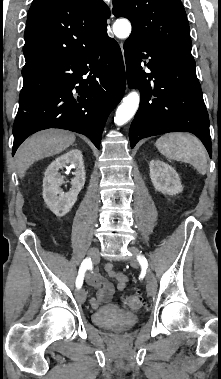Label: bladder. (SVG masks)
<instances>
[{
    "instance_id": "obj_1",
    "label": "bladder",
    "mask_w": 221,
    "mask_h": 379,
    "mask_svg": "<svg viewBox=\"0 0 221 379\" xmlns=\"http://www.w3.org/2000/svg\"><path fill=\"white\" fill-rule=\"evenodd\" d=\"M93 322L109 330H124L135 325L139 316L132 312H125L112 307L101 308L93 313Z\"/></svg>"
}]
</instances>
